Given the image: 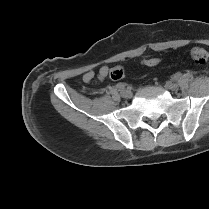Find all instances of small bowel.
Here are the masks:
<instances>
[{"mask_svg":"<svg viewBox=\"0 0 209 209\" xmlns=\"http://www.w3.org/2000/svg\"><path fill=\"white\" fill-rule=\"evenodd\" d=\"M108 72H109V68L107 66H102L100 68L97 76L100 80H103L107 77ZM94 76H95V74L93 71H88L84 74L83 80L85 82H90L91 80H93Z\"/></svg>","mask_w":209,"mask_h":209,"instance_id":"obj_1","label":"small bowel"}]
</instances>
